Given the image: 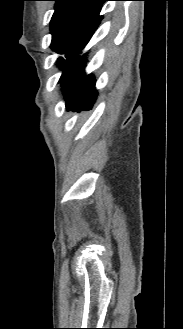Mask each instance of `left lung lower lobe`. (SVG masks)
Listing matches in <instances>:
<instances>
[{
  "mask_svg": "<svg viewBox=\"0 0 183 329\" xmlns=\"http://www.w3.org/2000/svg\"><path fill=\"white\" fill-rule=\"evenodd\" d=\"M78 46L76 51L66 60L58 64L62 70V75L59 80L61 83L66 108L68 110H81L90 108L97 97V90L95 88V78L92 74H86V56L83 50L89 43L94 32Z\"/></svg>",
  "mask_w": 183,
  "mask_h": 329,
  "instance_id": "0a47b994",
  "label": "left lung lower lobe"
}]
</instances>
